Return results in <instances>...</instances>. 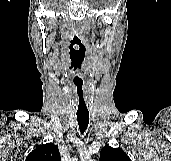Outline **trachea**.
<instances>
[{
    "mask_svg": "<svg viewBox=\"0 0 171 161\" xmlns=\"http://www.w3.org/2000/svg\"><path fill=\"white\" fill-rule=\"evenodd\" d=\"M77 121L80 132L83 134L89 124V112H77Z\"/></svg>",
    "mask_w": 171,
    "mask_h": 161,
    "instance_id": "1",
    "label": "trachea"
}]
</instances>
